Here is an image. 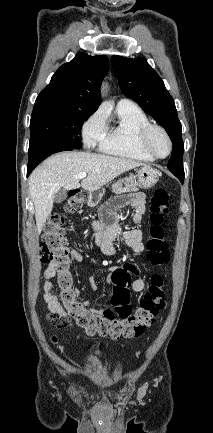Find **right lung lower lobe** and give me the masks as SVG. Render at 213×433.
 I'll list each match as a JSON object with an SVG mask.
<instances>
[{"label":"right lung lower lobe","instance_id":"1","mask_svg":"<svg viewBox=\"0 0 213 433\" xmlns=\"http://www.w3.org/2000/svg\"><path fill=\"white\" fill-rule=\"evenodd\" d=\"M75 148L56 141H39L29 146V160L27 176L32 170L48 156L61 151H69Z\"/></svg>","mask_w":213,"mask_h":433}]
</instances>
